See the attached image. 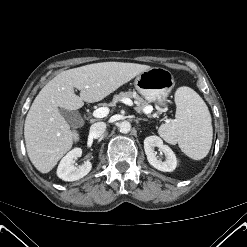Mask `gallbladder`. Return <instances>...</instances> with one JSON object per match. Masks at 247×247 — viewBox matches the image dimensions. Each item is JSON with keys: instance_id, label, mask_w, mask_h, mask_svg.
<instances>
[{"instance_id": "bac80fb5", "label": "gallbladder", "mask_w": 247, "mask_h": 247, "mask_svg": "<svg viewBox=\"0 0 247 247\" xmlns=\"http://www.w3.org/2000/svg\"><path fill=\"white\" fill-rule=\"evenodd\" d=\"M60 113L71 126L80 127L82 125L83 121L78 112L61 109Z\"/></svg>"}]
</instances>
